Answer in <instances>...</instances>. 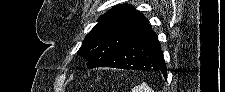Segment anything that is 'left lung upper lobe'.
<instances>
[{"mask_svg":"<svg viewBox=\"0 0 225 92\" xmlns=\"http://www.w3.org/2000/svg\"><path fill=\"white\" fill-rule=\"evenodd\" d=\"M148 23L132 5L114 6L87 34L78 54L88 60V68H95L134 39Z\"/></svg>","mask_w":225,"mask_h":92,"instance_id":"left-lung-upper-lobe-1","label":"left lung upper lobe"}]
</instances>
